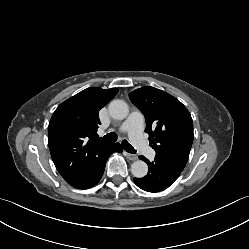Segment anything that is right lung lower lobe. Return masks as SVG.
Instances as JSON below:
<instances>
[{"mask_svg":"<svg viewBox=\"0 0 249 249\" xmlns=\"http://www.w3.org/2000/svg\"><path fill=\"white\" fill-rule=\"evenodd\" d=\"M121 151L122 147L119 143H109L106 147L99 150L88 169L85 171L82 177L72 186L78 189H87L96 185L103 175L108 157L113 152Z\"/></svg>","mask_w":249,"mask_h":249,"instance_id":"obj_1","label":"right lung lower lobe"}]
</instances>
